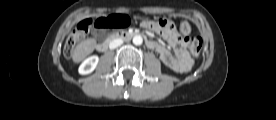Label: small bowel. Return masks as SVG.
Here are the masks:
<instances>
[{
  "mask_svg": "<svg viewBox=\"0 0 276 120\" xmlns=\"http://www.w3.org/2000/svg\"><path fill=\"white\" fill-rule=\"evenodd\" d=\"M141 25L146 30L158 33L173 48L174 55L154 40H149L147 45L150 49L157 51L160 60L166 66L177 72H187L191 69L193 62L188 53V40L178 35L173 24L162 28L158 21L145 20Z\"/></svg>",
  "mask_w": 276,
  "mask_h": 120,
  "instance_id": "obj_1",
  "label": "small bowel"
}]
</instances>
